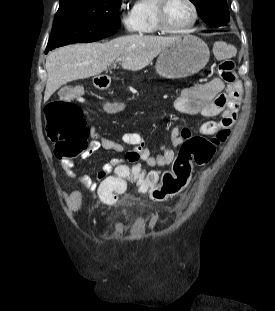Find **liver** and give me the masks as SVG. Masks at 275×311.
I'll return each instance as SVG.
<instances>
[{
  "label": "liver",
  "instance_id": "liver-1",
  "mask_svg": "<svg viewBox=\"0 0 275 311\" xmlns=\"http://www.w3.org/2000/svg\"><path fill=\"white\" fill-rule=\"evenodd\" d=\"M176 39L178 37L133 34L107 43L75 44L59 48L46 59L48 79L44 101L68 82L102 73L118 58H123V69L139 71Z\"/></svg>",
  "mask_w": 275,
  "mask_h": 311
}]
</instances>
